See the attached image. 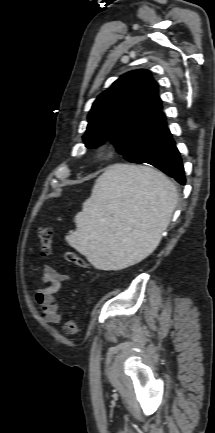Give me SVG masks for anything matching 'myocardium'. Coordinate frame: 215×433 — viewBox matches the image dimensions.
Listing matches in <instances>:
<instances>
[{
	"label": "myocardium",
	"mask_w": 215,
	"mask_h": 433,
	"mask_svg": "<svg viewBox=\"0 0 215 433\" xmlns=\"http://www.w3.org/2000/svg\"><path fill=\"white\" fill-rule=\"evenodd\" d=\"M113 154V149L109 146H102L97 150V156L100 159H107Z\"/></svg>",
	"instance_id": "f54148a6"
}]
</instances>
